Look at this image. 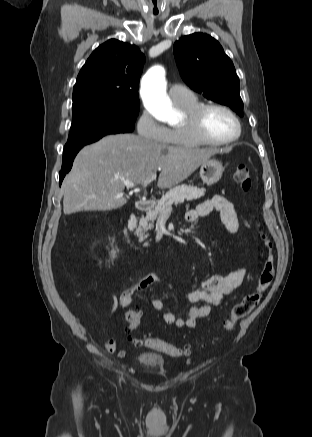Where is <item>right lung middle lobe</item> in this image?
Listing matches in <instances>:
<instances>
[{"instance_id":"right-lung-middle-lobe-1","label":"right lung middle lobe","mask_w":312,"mask_h":437,"mask_svg":"<svg viewBox=\"0 0 312 437\" xmlns=\"http://www.w3.org/2000/svg\"><path fill=\"white\" fill-rule=\"evenodd\" d=\"M138 112V103H90L73 107L64 154L77 151L108 134L132 132Z\"/></svg>"}]
</instances>
